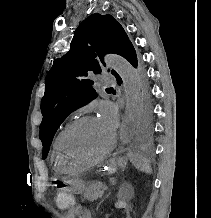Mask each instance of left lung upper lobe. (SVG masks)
Returning a JSON list of instances; mask_svg holds the SVG:
<instances>
[{"mask_svg":"<svg viewBox=\"0 0 211 218\" xmlns=\"http://www.w3.org/2000/svg\"><path fill=\"white\" fill-rule=\"evenodd\" d=\"M118 54L133 67L138 66L136 51L123 27L111 15L95 13L87 17L76 29L70 44V51L54 60L45 80V94L41 101L43 120L39 138L43 144L44 159L60 124L75 109L86 105L97 97L90 80L100 74L106 66V54ZM111 74L122 80L115 70ZM110 88L106 89L108 93ZM151 105L146 101L142 108L145 124L151 116Z\"/></svg>","mask_w":211,"mask_h":218,"instance_id":"1","label":"left lung upper lobe"}]
</instances>
